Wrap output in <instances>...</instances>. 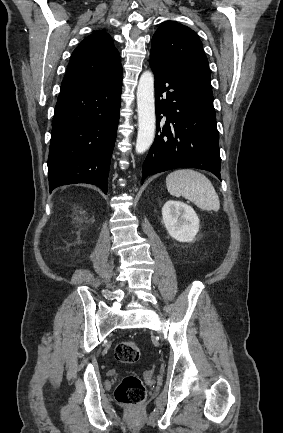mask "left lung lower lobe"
Here are the masks:
<instances>
[{"mask_svg": "<svg viewBox=\"0 0 283 433\" xmlns=\"http://www.w3.org/2000/svg\"><path fill=\"white\" fill-rule=\"evenodd\" d=\"M150 66L157 134L143 163L142 184L149 175L182 167L208 170L221 180L216 118L199 105L196 78L157 57L150 56Z\"/></svg>", "mask_w": 283, "mask_h": 433, "instance_id": "left-lung-lower-lobe-1", "label": "left lung lower lobe"}]
</instances>
